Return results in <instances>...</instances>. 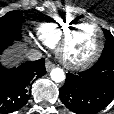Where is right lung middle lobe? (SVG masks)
I'll return each mask as SVG.
<instances>
[{
	"mask_svg": "<svg viewBox=\"0 0 114 114\" xmlns=\"http://www.w3.org/2000/svg\"><path fill=\"white\" fill-rule=\"evenodd\" d=\"M22 13L11 11L0 18V40L13 41L21 39Z\"/></svg>",
	"mask_w": 114,
	"mask_h": 114,
	"instance_id": "dd1d6c3e",
	"label": "right lung middle lobe"
}]
</instances>
